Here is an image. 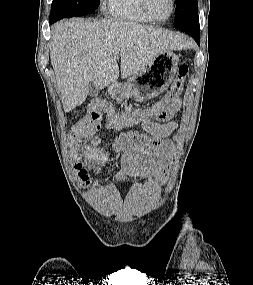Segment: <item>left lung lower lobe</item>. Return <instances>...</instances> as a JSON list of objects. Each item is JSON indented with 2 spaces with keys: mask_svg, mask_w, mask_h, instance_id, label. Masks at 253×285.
<instances>
[{
  "mask_svg": "<svg viewBox=\"0 0 253 285\" xmlns=\"http://www.w3.org/2000/svg\"><path fill=\"white\" fill-rule=\"evenodd\" d=\"M182 31L190 34L193 39L198 43V45L200 44V26H199V20L195 21L194 23H192L189 26L183 27L181 28Z\"/></svg>",
  "mask_w": 253,
  "mask_h": 285,
  "instance_id": "obj_1",
  "label": "left lung lower lobe"
}]
</instances>
